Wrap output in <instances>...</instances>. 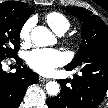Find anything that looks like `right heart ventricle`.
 <instances>
[{
    "label": "right heart ventricle",
    "instance_id": "e07e8e85",
    "mask_svg": "<svg viewBox=\"0 0 108 108\" xmlns=\"http://www.w3.org/2000/svg\"><path fill=\"white\" fill-rule=\"evenodd\" d=\"M45 20L49 27L57 34H64L70 27L67 17L59 12L47 14Z\"/></svg>",
    "mask_w": 108,
    "mask_h": 108
}]
</instances>
